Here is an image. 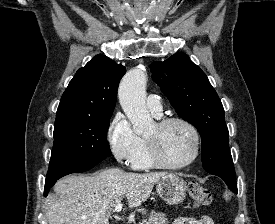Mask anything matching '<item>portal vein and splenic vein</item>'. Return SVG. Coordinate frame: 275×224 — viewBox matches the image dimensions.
<instances>
[{
  "label": "portal vein and splenic vein",
  "instance_id": "18ae733b",
  "mask_svg": "<svg viewBox=\"0 0 275 224\" xmlns=\"http://www.w3.org/2000/svg\"><path fill=\"white\" fill-rule=\"evenodd\" d=\"M123 208V204L119 203L118 205L115 206L114 211L115 212H120Z\"/></svg>",
  "mask_w": 275,
  "mask_h": 224
}]
</instances>
